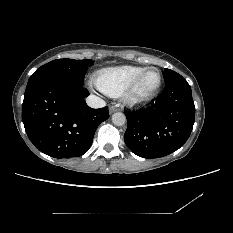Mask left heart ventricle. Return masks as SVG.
<instances>
[{
  "label": "left heart ventricle",
  "instance_id": "1",
  "mask_svg": "<svg viewBox=\"0 0 233 233\" xmlns=\"http://www.w3.org/2000/svg\"><path fill=\"white\" fill-rule=\"evenodd\" d=\"M158 79L159 76L155 70L147 72L137 88V94L143 96L152 92L157 86Z\"/></svg>",
  "mask_w": 233,
  "mask_h": 233
}]
</instances>
